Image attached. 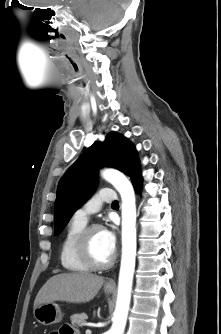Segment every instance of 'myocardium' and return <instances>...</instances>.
Wrapping results in <instances>:
<instances>
[{"mask_svg":"<svg viewBox=\"0 0 221 334\" xmlns=\"http://www.w3.org/2000/svg\"><path fill=\"white\" fill-rule=\"evenodd\" d=\"M103 230L100 224H90L87 225L80 233L76 249L78 256L90 269L94 270H104L110 268L116 259V251H113L111 258L106 262H99L95 259L91 251V237L95 230Z\"/></svg>","mask_w":221,"mask_h":334,"instance_id":"myocardium-1","label":"myocardium"}]
</instances>
